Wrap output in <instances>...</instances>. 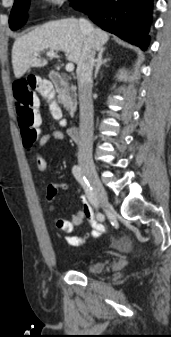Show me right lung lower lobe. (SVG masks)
<instances>
[{
    "label": "right lung lower lobe",
    "mask_w": 171,
    "mask_h": 337,
    "mask_svg": "<svg viewBox=\"0 0 171 337\" xmlns=\"http://www.w3.org/2000/svg\"><path fill=\"white\" fill-rule=\"evenodd\" d=\"M71 5L102 29L147 48L153 0H73Z\"/></svg>",
    "instance_id": "98d812e1"
}]
</instances>
